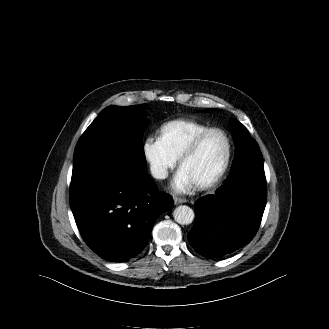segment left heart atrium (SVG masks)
I'll return each mask as SVG.
<instances>
[{"instance_id":"obj_1","label":"left heart atrium","mask_w":329,"mask_h":329,"mask_svg":"<svg viewBox=\"0 0 329 329\" xmlns=\"http://www.w3.org/2000/svg\"><path fill=\"white\" fill-rule=\"evenodd\" d=\"M172 187L177 193H189L197 187V184L180 168L173 179Z\"/></svg>"}]
</instances>
